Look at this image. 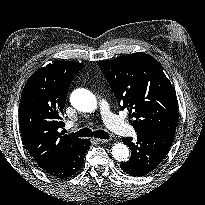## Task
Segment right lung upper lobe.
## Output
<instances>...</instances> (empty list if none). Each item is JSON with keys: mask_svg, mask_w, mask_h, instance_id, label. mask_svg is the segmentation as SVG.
<instances>
[{"mask_svg": "<svg viewBox=\"0 0 205 205\" xmlns=\"http://www.w3.org/2000/svg\"><path fill=\"white\" fill-rule=\"evenodd\" d=\"M83 67L75 61H58L34 72L25 84L19 105L21 137L42 169L61 160L83 141L61 132L69 86Z\"/></svg>", "mask_w": 205, "mask_h": 205, "instance_id": "right-lung-upper-lobe-1", "label": "right lung upper lobe"}]
</instances>
